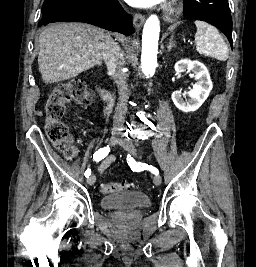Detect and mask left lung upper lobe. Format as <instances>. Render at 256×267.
<instances>
[{
  "mask_svg": "<svg viewBox=\"0 0 256 267\" xmlns=\"http://www.w3.org/2000/svg\"><path fill=\"white\" fill-rule=\"evenodd\" d=\"M185 17L208 22L220 29L232 46V18L228 0H184Z\"/></svg>",
  "mask_w": 256,
  "mask_h": 267,
  "instance_id": "obj_1",
  "label": "left lung upper lobe"
}]
</instances>
